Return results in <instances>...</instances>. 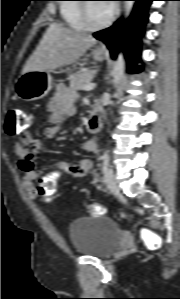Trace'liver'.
Here are the masks:
<instances>
[{"label":"liver","instance_id":"liver-1","mask_svg":"<svg viewBox=\"0 0 180 299\" xmlns=\"http://www.w3.org/2000/svg\"><path fill=\"white\" fill-rule=\"evenodd\" d=\"M96 43L97 40L89 34L51 23L22 73L31 70L52 71L73 64Z\"/></svg>","mask_w":180,"mask_h":299}]
</instances>
